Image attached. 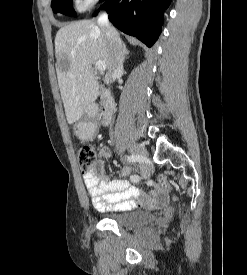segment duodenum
<instances>
[{
	"mask_svg": "<svg viewBox=\"0 0 247 275\" xmlns=\"http://www.w3.org/2000/svg\"><path fill=\"white\" fill-rule=\"evenodd\" d=\"M92 110H93V107L89 108L90 112ZM114 111H115V102L112 95L108 91L101 92L100 100H99L98 118L100 119V122L102 125H105L108 123Z\"/></svg>",
	"mask_w": 247,
	"mask_h": 275,
	"instance_id": "duodenum-1",
	"label": "duodenum"
}]
</instances>
